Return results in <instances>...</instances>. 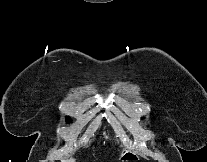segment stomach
Instances as JSON below:
<instances>
[{
    "mask_svg": "<svg viewBox=\"0 0 207 162\" xmlns=\"http://www.w3.org/2000/svg\"><path fill=\"white\" fill-rule=\"evenodd\" d=\"M119 160H121V162H136L135 160H138V156L135 153L124 149L120 153Z\"/></svg>",
    "mask_w": 207,
    "mask_h": 162,
    "instance_id": "1",
    "label": "stomach"
}]
</instances>
